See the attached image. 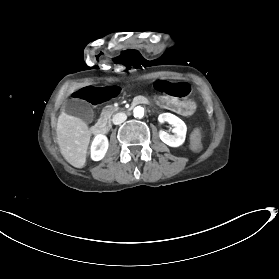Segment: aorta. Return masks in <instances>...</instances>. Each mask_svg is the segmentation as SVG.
Masks as SVG:
<instances>
[{
  "label": "aorta",
  "mask_w": 279,
  "mask_h": 279,
  "mask_svg": "<svg viewBox=\"0 0 279 279\" xmlns=\"http://www.w3.org/2000/svg\"><path fill=\"white\" fill-rule=\"evenodd\" d=\"M134 116L135 117H143L144 116V108L141 107V106H137L135 109H134Z\"/></svg>",
  "instance_id": "762f6f07"
}]
</instances>
